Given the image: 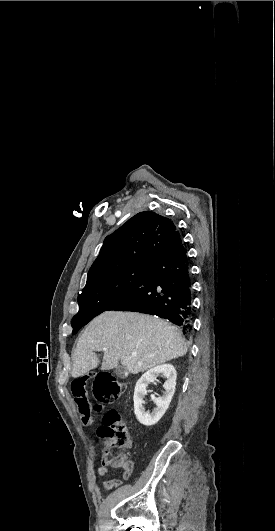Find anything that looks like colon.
<instances>
[{"instance_id":"obj_1","label":"colon","mask_w":275,"mask_h":531,"mask_svg":"<svg viewBox=\"0 0 275 531\" xmlns=\"http://www.w3.org/2000/svg\"><path fill=\"white\" fill-rule=\"evenodd\" d=\"M127 388L128 384L124 379L115 377L109 371L103 369L94 375L93 388L92 374L90 373H83L80 378L69 380L68 392L72 394V400L76 401L78 406L77 422L80 424L88 422L91 404L83 395L88 394L90 389H92L95 400L93 408H97L100 412L103 404L116 401ZM97 436L106 441L105 459L107 468L119 467L131 446V434L128 425L122 421L118 410L109 409L103 413L101 424L97 429ZM130 474L131 465L127 464L123 471V479H128ZM120 484L121 481L119 479L108 480L109 487H116Z\"/></svg>"}]
</instances>
